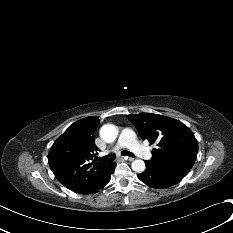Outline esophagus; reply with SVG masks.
I'll list each match as a JSON object with an SVG mask.
<instances>
[{"label":"esophagus","instance_id":"34e87169","mask_svg":"<svg viewBox=\"0 0 233 233\" xmlns=\"http://www.w3.org/2000/svg\"><path fill=\"white\" fill-rule=\"evenodd\" d=\"M124 160L132 162V161H134V158H132V157H124Z\"/></svg>","mask_w":233,"mask_h":233}]
</instances>
